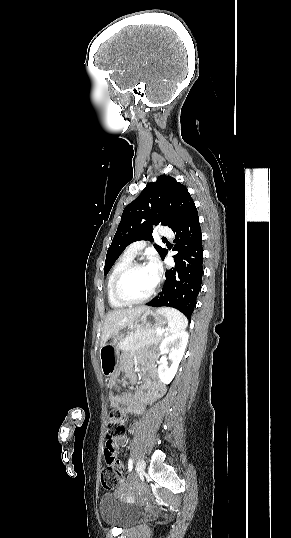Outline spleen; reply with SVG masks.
Segmentation results:
<instances>
[{"label": "spleen", "instance_id": "spleen-1", "mask_svg": "<svg viewBox=\"0 0 291 538\" xmlns=\"http://www.w3.org/2000/svg\"><path fill=\"white\" fill-rule=\"evenodd\" d=\"M157 311L166 316L171 333L181 332L188 325L186 316L174 308L162 307L158 308Z\"/></svg>", "mask_w": 291, "mask_h": 538}]
</instances>
